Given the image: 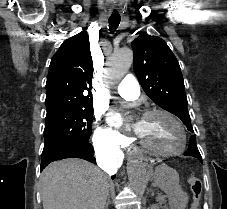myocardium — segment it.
Returning <instances> with one entry per match:
<instances>
[{"instance_id": "1", "label": "myocardium", "mask_w": 227, "mask_h": 209, "mask_svg": "<svg viewBox=\"0 0 227 209\" xmlns=\"http://www.w3.org/2000/svg\"><path fill=\"white\" fill-rule=\"evenodd\" d=\"M156 113L165 115L178 127L180 134H181L180 146L175 149H172V150L164 151V150L157 149V148L151 146L150 144H148L146 141L141 139L136 134V132H135V139L138 141L139 145L143 149H145L146 151H148L149 153H151L155 156L169 157V156H174V155L180 154L181 152L184 151V149L186 148V145H187V132H186L185 126L183 125L181 120L175 114H173L171 111L164 109V108H157V107L151 108L143 114L142 118L156 114Z\"/></svg>"}]
</instances>
